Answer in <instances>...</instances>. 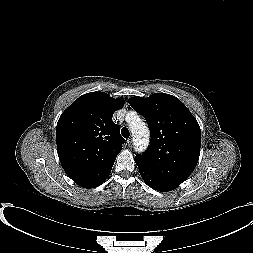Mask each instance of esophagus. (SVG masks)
<instances>
[{
  "mask_svg": "<svg viewBox=\"0 0 253 253\" xmlns=\"http://www.w3.org/2000/svg\"><path fill=\"white\" fill-rule=\"evenodd\" d=\"M127 144H128V147H132V145H133L132 139H128Z\"/></svg>",
  "mask_w": 253,
  "mask_h": 253,
  "instance_id": "obj_1",
  "label": "esophagus"
}]
</instances>
